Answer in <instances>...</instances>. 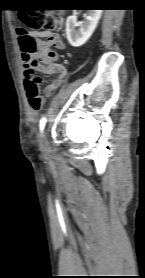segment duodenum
Instances as JSON below:
<instances>
[{
    "mask_svg": "<svg viewBox=\"0 0 145 278\" xmlns=\"http://www.w3.org/2000/svg\"><path fill=\"white\" fill-rule=\"evenodd\" d=\"M44 94H45L46 97H50L51 94H52V91H46Z\"/></svg>",
    "mask_w": 145,
    "mask_h": 278,
    "instance_id": "410a0bca",
    "label": "duodenum"
}]
</instances>
